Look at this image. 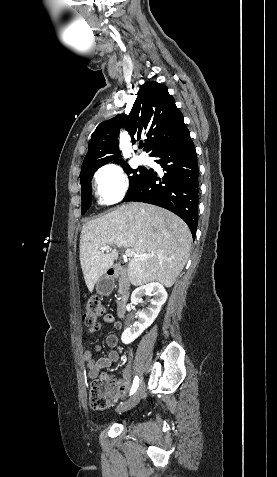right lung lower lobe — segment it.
<instances>
[{"mask_svg": "<svg viewBox=\"0 0 277 477\" xmlns=\"http://www.w3.org/2000/svg\"><path fill=\"white\" fill-rule=\"evenodd\" d=\"M150 156L157 158L155 162L165 171L163 177L148 169L143 181L124 201L150 203L172 211L186 222L194 238L198 225L199 172L189 130L185 129Z\"/></svg>", "mask_w": 277, "mask_h": 477, "instance_id": "obj_1", "label": "right lung lower lobe"}]
</instances>
